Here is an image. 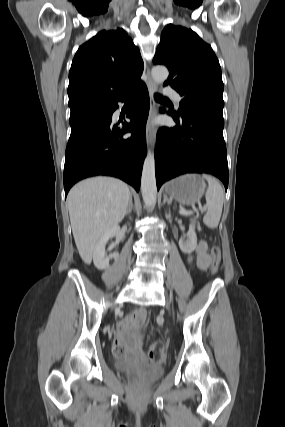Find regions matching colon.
I'll return each mask as SVG.
<instances>
[{
  "label": "colon",
  "mask_w": 285,
  "mask_h": 427,
  "mask_svg": "<svg viewBox=\"0 0 285 427\" xmlns=\"http://www.w3.org/2000/svg\"><path fill=\"white\" fill-rule=\"evenodd\" d=\"M221 261V251L218 246H213L211 249V271L216 273L219 269ZM114 352L118 356L125 355V347L117 342L114 346ZM148 354L151 360L161 362L165 358L164 345L161 342H152L149 345Z\"/></svg>",
  "instance_id": "colon-1"
}]
</instances>
